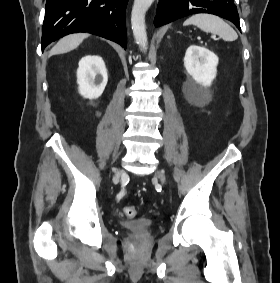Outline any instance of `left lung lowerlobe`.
Listing matches in <instances>:
<instances>
[{
  "label": "left lung lower lobe",
  "instance_id": "0a47b994",
  "mask_svg": "<svg viewBox=\"0 0 280 283\" xmlns=\"http://www.w3.org/2000/svg\"><path fill=\"white\" fill-rule=\"evenodd\" d=\"M209 13L230 20L240 30L234 0H160L154 25L168 24L190 14Z\"/></svg>",
  "mask_w": 280,
  "mask_h": 283
}]
</instances>
